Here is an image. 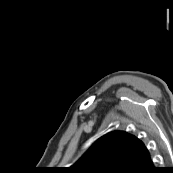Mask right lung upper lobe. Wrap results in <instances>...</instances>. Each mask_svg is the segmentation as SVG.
I'll list each match as a JSON object with an SVG mask.
<instances>
[{
	"label": "right lung upper lobe",
	"mask_w": 173,
	"mask_h": 173,
	"mask_svg": "<svg viewBox=\"0 0 173 173\" xmlns=\"http://www.w3.org/2000/svg\"><path fill=\"white\" fill-rule=\"evenodd\" d=\"M149 156L135 136L114 131L99 138L68 170V173H125Z\"/></svg>",
	"instance_id": "1"
}]
</instances>
